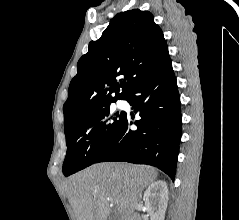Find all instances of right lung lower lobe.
I'll use <instances>...</instances> for the list:
<instances>
[{
    "label": "right lung lower lobe",
    "instance_id": "right-lung-lower-lobe-1",
    "mask_svg": "<svg viewBox=\"0 0 239 220\" xmlns=\"http://www.w3.org/2000/svg\"><path fill=\"white\" fill-rule=\"evenodd\" d=\"M141 119L134 124L125 115L111 143L95 163L127 161L149 164L175 179L182 122L180 97L171 60L140 81L126 96Z\"/></svg>",
    "mask_w": 239,
    "mask_h": 220
}]
</instances>
